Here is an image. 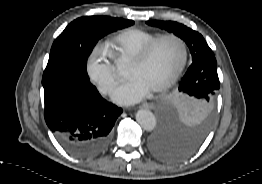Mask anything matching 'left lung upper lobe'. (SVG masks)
Instances as JSON below:
<instances>
[{"mask_svg":"<svg viewBox=\"0 0 262 184\" xmlns=\"http://www.w3.org/2000/svg\"><path fill=\"white\" fill-rule=\"evenodd\" d=\"M151 26L173 32L188 45L192 64L182 78L178 94L172 96L160 108L162 125L173 133L186 138H200L207 133L210 123V108L220 88L216 67L199 61L214 56L205 39L198 32L173 21H147ZM176 106L180 107L184 117L194 120V127H184L178 120Z\"/></svg>","mask_w":262,"mask_h":184,"instance_id":"1","label":"left lung upper lobe"}]
</instances>
